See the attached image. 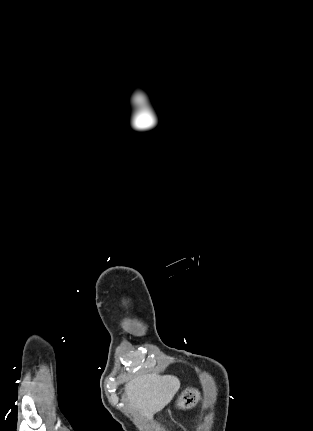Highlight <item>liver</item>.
Listing matches in <instances>:
<instances>
[{"mask_svg":"<svg viewBox=\"0 0 313 431\" xmlns=\"http://www.w3.org/2000/svg\"><path fill=\"white\" fill-rule=\"evenodd\" d=\"M180 387L177 377L155 373L137 376L125 385L127 399L143 416L150 419L171 402Z\"/></svg>","mask_w":313,"mask_h":431,"instance_id":"liver-1","label":"liver"}]
</instances>
